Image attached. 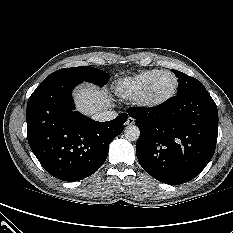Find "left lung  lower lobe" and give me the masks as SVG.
Segmentation results:
<instances>
[{"mask_svg":"<svg viewBox=\"0 0 233 233\" xmlns=\"http://www.w3.org/2000/svg\"><path fill=\"white\" fill-rule=\"evenodd\" d=\"M128 115L136 119L140 130L138 161L160 182L186 183L214 155L218 110L205 87L174 96L156 107L130 108Z\"/></svg>","mask_w":233,"mask_h":233,"instance_id":"left-lung-lower-lobe-1","label":"left lung lower lobe"}]
</instances>
